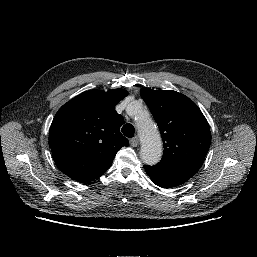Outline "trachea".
Segmentation results:
<instances>
[{"mask_svg": "<svg viewBox=\"0 0 257 257\" xmlns=\"http://www.w3.org/2000/svg\"><path fill=\"white\" fill-rule=\"evenodd\" d=\"M121 131L128 138L134 137L135 129H134V126L132 124H129V123L125 124L122 127Z\"/></svg>", "mask_w": 257, "mask_h": 257, "instance_id": "3493384b", "label": "trachea"}]
</instances>
